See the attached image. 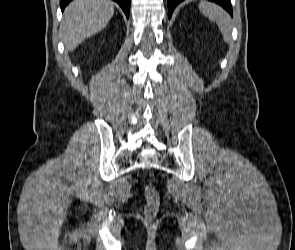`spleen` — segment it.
I'll use <instances>...</instances> for the list:
<instances>
[{"mask_svg": "<svg viewBox=\"0 0 295 250\" xmlns=\"http://www.w3.org/2000/svg\"><path fill=\"white\" fill-rule=\"evenodd\" d=\"M199 9L206 17L217 23L224 40L228 43L231 39V19L227 12L220 6L205 0L200 2Z\"/></svg>", "mask_w": 295, "mask_h": 250, "instance_id": "1", "label": "spleen"}]
</instances>
